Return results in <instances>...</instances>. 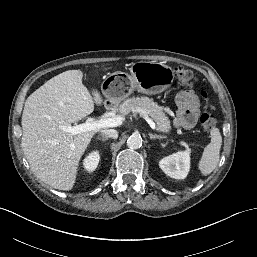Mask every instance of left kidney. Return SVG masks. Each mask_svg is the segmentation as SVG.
Returning a JSON list of instances; mask_svg holds the SVG:
<instances>
[{
    "label": "left kidney",
    "instance_id": "5707ae66",
    "mask_svg": "<svg viewBox=\"0 0 257 257\" xmlns=\"http://www.w3.org/2000/svg\"><path fill=\"white\" fill-rule=\"evenodd\" d=\"M189 150L172 154L159 162L162 171L171 178L184 179L190 169Z\"/></svg>",
    "mask_w": 257,
    "mask_h": 257
}]
</instances>
